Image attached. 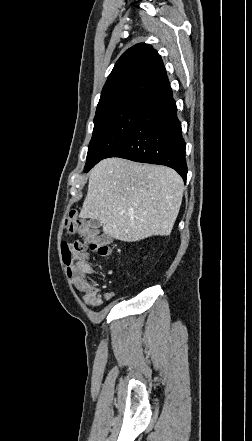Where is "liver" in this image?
<instances>
[{"mask_svg": "<svg viewBox=\"0 0 252 441\" xmlns=\"http://www.w3.org/2000/svg\"><path fill=\"white\" fill-rule=\"evenodd\" d=\"M183 191L182 178L169 167L107 158L90 172L79 217L98 219L104 234L124 242L167 236Z\"/></svg>", "mask_w": 252, "mask_h": 441, "instance_id": "1", "label": "liver"}]
</instances>
